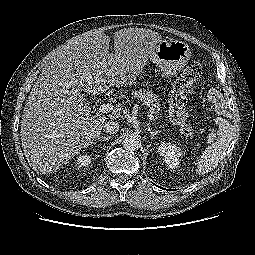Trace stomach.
I'll return each mask as SVG.
<instances>
[{
    "mask_svg": "<svg viewBox=\"0 0 255 255\" xmlns=\"http://www.w3.org/2000/svg\"><path fill=\"white\" fill-rule=\"evenodd\" d=\"M191 56L189 46L180 40L162 39L150 60L164 75H176L188 63Z\"/></svg>",
    "mask_w": 255,
    "mask_h": 255,
    "instance_id": "0dacf381",
    "label": "stomach"
}]
</instances>
